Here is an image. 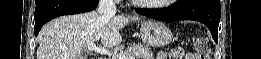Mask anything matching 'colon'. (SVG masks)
<instances>
[{
	"label": "colon",
	"mask_w": 261,
	"mask_h": 59,
	"mask_svg": "<svg viewBox=\"0 0 261 59\" xmlns=\"http://www.w3.org/2000/svg\"><path fill=\"white\" fill-rule=\"evenodd\" d=\"M195 48L197 51V55L194 57H188L187 54H184V51L180 47L173 48L169 55L175 59H189V58H199V59H206L209 57V47L207 43L203 40H196L195 41Z\"/></svg>",
	"instance_id": "obj_1"
}]
</instances>
